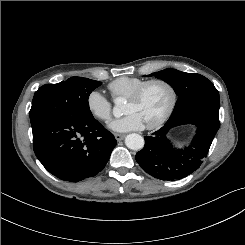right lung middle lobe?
<instances>
[{"mask_svg": "<svg viewBox=\"0 0 245 245\" xmlns=\"http://www.w3.org/2000/svg\"><path fill=\"white\" fill-rule=\"evenodd\" d=\"M102 83L83 77H71L58 84H45L34 94L29 112L31 123L54 115L67 120L92 118L88 98Z\"/></svg>", "mask_w": 245, "mask_h": 245, "instance_id": "1", "label": "right lung middle lobe"}]
</instances>
